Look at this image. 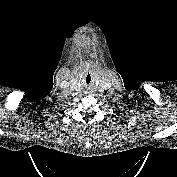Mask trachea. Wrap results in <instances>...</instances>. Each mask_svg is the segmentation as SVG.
I'll return each instance as SVG.
<instances>
[{
  "label": "trachea",
  "mask_w": 177,
  "mask_h": 177,
  "mask_svg": "<svg viewBox=\"0 0 177 177\" xmlns=\"http://www.w3.org/2000/svg\"><path fill=\"white\" fill-rule=\"evenodd\" d=\"M85 80H86L87 83H90V81H91V76H90V74H88V75L86 76Z\"/></svg>",
  "instance_id": "trachea-1"
}]
</instances>
